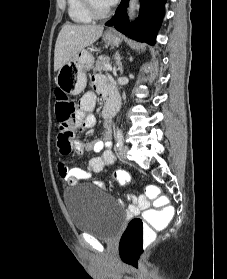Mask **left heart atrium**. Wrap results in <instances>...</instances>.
<instances>
[{
  "label": "left heart atrium",
  "instance_id": "obj_1",
  "mask_svg": "<svg viewBox=\"0 0 227 279\" xmlns=\"http://www.w3.org/2000/svg\"><path fill=\"white\" fill-rule=\"evenodd\" d=\"M108 2L109 5H112L116 2V0H106Z\"/></svg>",
  "mask_w": 227,
  "mask_h": 279
}]
</instances>
